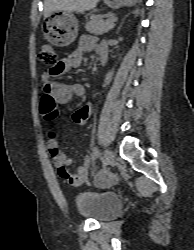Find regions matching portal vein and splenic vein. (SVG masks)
<instances>
[{
    "label": "portal vein and splenic vein",
    "instance_id": "obj_1",
    "mask_svg": "<svg viewBox=\"0 0 194 250\" xmlns=\"http://www.w3.org/2000/svg\"><path fill=\"white\" fill-rule=\"evenodd\" d=\"M115 21H117V18H114V17H112L111 19H109V22H115Z\"/></svg>",
    "mask_w": 194,
    "mask_h": 250
}]
</instances>
